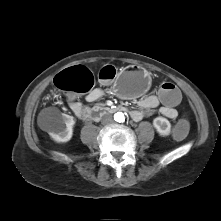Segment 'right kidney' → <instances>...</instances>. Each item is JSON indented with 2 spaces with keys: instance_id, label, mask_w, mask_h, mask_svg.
<instances>
[{
  "instance_id": "1",
  "label": "right kidney",
  "mask_w": 221,
  "mask_h": 221,
  "mask_svg": "<svg viewBox=\"0 0 221 221\" xmlns=\"http://www.w3.org/2000/svg\"><path fill=\"white\" fill-rule=\"evenodd\" d=\"M74 125L73 116L61 114L51 125L49 135L57 143L68 142L72 138Z\"/></svg>"
}]
</instances>
